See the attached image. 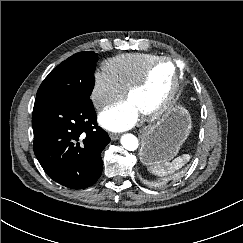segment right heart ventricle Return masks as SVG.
Here are the masks:
<instances>
[{"instance_id": "e07e8e85", "label": "right heart ventricle", "mask_w": 243, "mask_h": 243, "mask_svg": "<svg viewBox=\"0 0 243 243\" xmlns=\"http://www.w3.org/2000/svg\"><path fill=\"white\" fill-rule=\"evenodd\" d=\"M157 57L150 53L118 55L108 59L104 64V69L123 90H126Z\"/></svg>"}]
</instances>
